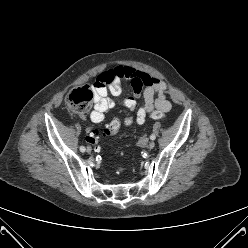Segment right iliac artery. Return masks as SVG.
Listing matches in <instances>:
<instances>
[{"label": "right iliac artery", "instance_id": "82829eb1", "mask_svg": "<svg viewBox=\"0 0 248 248\" xmlns=\"http://www.w3.org/2000/svg\"><path fill=\"white\" fill-rule=\"evenodd\" d=\"M85 150H86V149H85L84 146H80V151H81V152H85Z\"/></svg>", "mask_w": 248, "mask_h": 248}]
</instances>
